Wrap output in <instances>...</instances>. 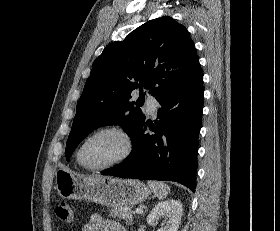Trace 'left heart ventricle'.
I'll use <instances>...</instances> for the list:
<instances>
[{
	"label": "left heart ventricle",
	"mask_w": 280,
	"mask_h": 231,
	"mask_svg": "<svg viewBox=\"0 0 280 231\" xmlns=\"http://www.w3.org/2000/svg\"><path fill=\"white\" fill-rule=\"evenodd\" d=\"M123 138L114 132L101 133L86 144L82 159L91 167H101L117 159L124 151Z\"/></svg>",
	"instance_id": "left-heart-ventricle-1"
}]
</instances>
